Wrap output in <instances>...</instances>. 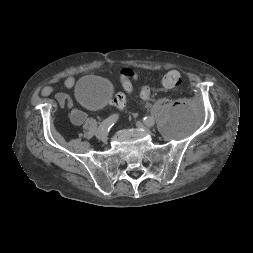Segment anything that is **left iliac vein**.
<instances>
[{"mask_svg": "<svg viewBox=\"0 0 253 253\" xmlns=\"http://www.w3.org/2000/svg\"><path fill=\"white\" fill-rule=\"evenodd\" d=\"M155 122V120H154ZM136 126L140 129H144L146 132L150 133L149 127L148 125H146L145 123L143 124L142 122H137Z\"/></svg>", "mask_w": 253, "mask_h": 253, "instance_id": "4c4485c4", "label": "left iliac vein"}]
</instances>
